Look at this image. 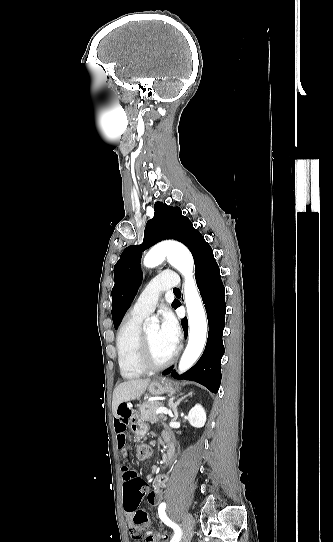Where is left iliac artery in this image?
<instances>
[{
    "label": "left iliac artery",
    "instance_id": "1",
    "mask_svg": "<svg viewBox=\"0 0 333 542\" xmlns=\"http://www.w3.org/2000/svg\"><path fill=\"white\" fill-rule=\"evenodd\" d=\"M165 508H166V504L165 503H161L159 508H158V513H159V517L161 518V520L168 526H170L171 528L174 529L175 531V534L172 538V540L170 542H178L181 538V529L180 527L175 524L174 522H172L167 516H166V513H165Z\"/></svg>",
    "mask_w": 333,
    "mask_h": 542
}]
</instances>
